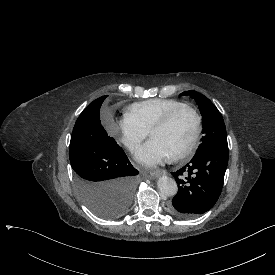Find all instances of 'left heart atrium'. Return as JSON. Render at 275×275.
Returning a JSON list of instances; mask_svg holds the SVG:
<instances>
[{"instance_id": "left-heart-atrium-1", "label": "left heart atrium", "mask_w": 275, "mask_h": 275, "mask_svg": "<svg viewBox=\"0 0 275 275\" xmlns=\"http://www.w3.org/2000/svg\"><path fill=\"white\" fill-rule=\"evenodd\" d=\"M172 155L157 140H149L138 152L136 158L139 162L153 166L168 161Z\"/></svg>"}]
</instances>
